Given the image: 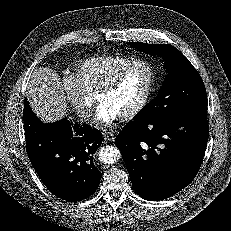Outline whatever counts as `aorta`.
Here are the masks:
<instances>
[{
    "label": "aorta",
    "instance_id": "762f6f07",
    "mask_svg": "<svg viewBox=\"0 0 231 231\" xmlns=\"http://www.w3.org/2000/svg\"><path fill=\"white\" fill-rule=\"evenodd\" d=\"M98 156L100 161L113 164L121 158V152L117 147L106 146L100 149Z\"/></svg>",
    "mask_w": 231,
    "mask_h": 231
}]
</instances>
